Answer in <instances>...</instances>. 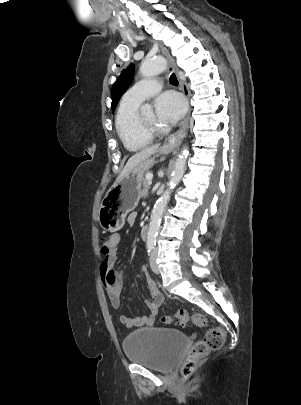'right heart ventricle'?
Returning <instances> with one entry per match:
<instances>
[{"label": "right heart ventricle", "mask_w": 301, "mask_h": 405, "mask_svg": "<svg viewBox=\"0 0 301 405\" xmlns=\"http://www.w3.org/2000/svg\"><path fill=\"white\" fill-rule=\"evenodd\" d=\"M139 105L121 102L115 116L116 131L124 147L130 152H136L152 141V137L141 133L136 125Z\"/></svg>", "instance_id": "1"}]
</instances>
